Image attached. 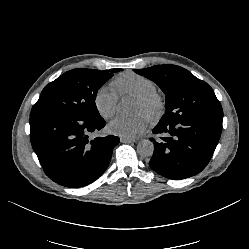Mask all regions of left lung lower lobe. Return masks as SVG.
Returning <instances> with one entry per match:
<instances>
[{"label": "left lung lower lobe", "mask_w": 249, "mask_h": 249, "mask_svg": "<svg viewBox=\"0 0 249 249\" xmlns=\"http://www.w3.org/2000/svg\"><path fill=\"white\" fill-rule=\"evenodd\" d=\"M223 117L185 118L178 122L158 123L153 133L154 153L149 166L169 179H185L201 172L218 144Z\"/></svg>", "instance_id": "obj_1"}]
</instances>
